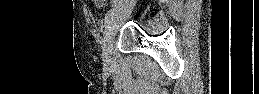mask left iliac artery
Here are the masks:
<instances>
[{"label":"left iliac artery","mask_w":259,"mask_h":94,"mask_svg":"<svg viewBox=\"0 0 259 94\" xmlns=\"http://www.w3.org/2000/svg\"><path fill=\"white\" fill-rule=\"evenodd\" d=\"M114 11H115V9L112 8V9H110V10L106 13L105 18H104V25H102V27H105V26H106V22H107V21L109 20V18L114 14Z\"/></svg>","instance_id":"1"}]
</instances>
